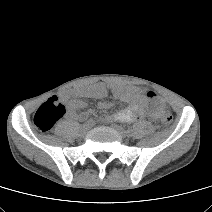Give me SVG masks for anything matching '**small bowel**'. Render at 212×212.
<instances>
[{
    "label": "small bowel",
    "instance_id": "small-bowel-1",
    "mask_svg": "<svg viewBox=\"0 0 212 212\" xmlns=\"http://www.w3.org/2000/svg\"><path fill=\"white\" fill-rule=\"evenodd\" d=\"M111 92L114 99L127 104V107L114 114L113 119L119 122H134L145 118L146 116L152 119H158L164 111V104L159 100L158 105L150 109L146 97L130 88L116 84L108 86L104 82H98L93 85H88L77 89L73 93H65L63 100L66 102L68 111L67 118L70 120H84L91 115L92 110L87 109L82 113L78 110L86 107V99H103ZM113 105L112 102L101 101L98 104L100 109H109Z\"/></svg>",
    "mask_w": 212,
    "mask_h": 212
}]
</instances>
